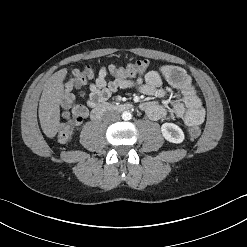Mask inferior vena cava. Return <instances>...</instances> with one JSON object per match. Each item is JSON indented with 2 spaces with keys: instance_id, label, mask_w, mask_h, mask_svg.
<instances>
[{
  "instance_id": "1",
  "label": "inferior vena cava",
  "mask_w": 247,
  "mask_h": 247,
  "mask_svg": "<svg viewBox=\"0 0 247 247\" xmlns=\"http://www.w3.org/2000/svg\"><path fill=\"white\" fill-rule=\"evenodd\" d=\"M104 119L110 122L118 121L120 114L116 111H109L104 114Z\"/></svg>"
}]
</instances>
